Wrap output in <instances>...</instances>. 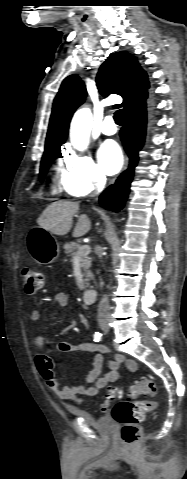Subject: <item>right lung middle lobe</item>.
Returning a JSON list of instances; mask_svg holds the SVG:
<instances>
[{
    "label": "right lung middle lobe",
    "mask_w": 187,
    "mask_h": 479,
    "mask_svg": "<svg viewBox=\"0 0 187 479\" xmlns=\"http://www.w3.org/2000/svg\"><path fill=\"white\" fill-rule=\"evenodd\" d=\"M59 149L48 150L44 152L42 161H41V169H40V180L44 179V176L48 170L53 159H55L59 155Z\"/></svg>",
    "instance_id": "obj_1"
}]
</instances>
